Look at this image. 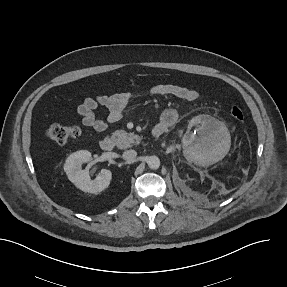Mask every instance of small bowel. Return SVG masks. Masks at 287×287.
<instances>
[{
	"label": "small bowel",
	"instance_id": "obj_1",
	"mask_svg": "<svg viewBox=\"0 0 287 287\" xmlns=\"http://www.w3.org/2000/svg\"><path fill=\"white\" fill-rule=\"evenodd\" d=\"M148 93L152 96H169L186 102H194L199 97V93L193 88L169 83L155 84L150 87ZM136 97L137 94L131 91L88 97L77 106V113L85 127L92 128L97 132H105L111 124L122 119L128 110L129 103ZM100 107L107 110L105 118L96 115ZM177 119V110L168 108L161 113L154 127L161 125L166 131L176 123Z\"/></svg>",
	"mask_w": 287,
	"mask_h": 287
}]
</instances>
